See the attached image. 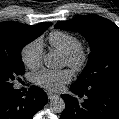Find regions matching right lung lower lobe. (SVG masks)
Wrapping results in <instances>:
<instances>
[{
  "label": "right lung lower lobe",
  "instance_id": "98d812e1",
  "mask_svg": "<svg viewBox=\"0 0 119 119\" xmlns=\"http://www.w3.org/2000/svg\"><path fill=\"white\" fill-rule=\"evenodd\" d=\"M46 93L33 86L26 94L13 87L0 91V119H32L47 103Z\"/></svg>",
  "mask_w": 119,
  "mask_h": 119
}]
</instances>
